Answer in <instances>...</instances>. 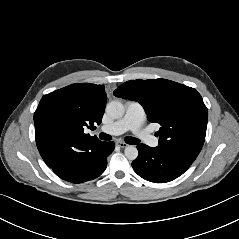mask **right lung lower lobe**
Instances as JSON below:
<instances>
[{
  "label": "right lung lower lobe",
  "mask_w": 239,
  "mask_h": 239,
  "mask_svg": "<svg viewBox=\"0 0 239 239\" xmlns=\"http://www.w3.org/2000/svg\"><path fill=\"white\" fill-rule=\"evenodd\" d=\"M113 150V142L103 141L65 148L49 167L63 180L83 183L97 178L105 171L107 157Z\"/></svg>",
  "instance_id": "right-lung-lower-lobe-1"
}]
</instances>
